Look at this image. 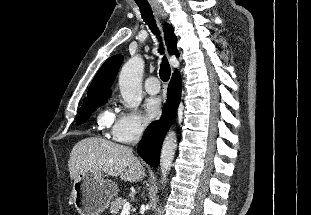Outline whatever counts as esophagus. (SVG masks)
<instances>
[{
	"instance_id": "34e87169",
	"label": "esophagus",
	"mask_w": 311,
	"mask_h": 215,
	"mask_svg": "<svg viewBox=\"0 0 311 215\" xmlns=\"http://www.w3.org/2000/svg\"><path fill=\"white\" fill-rule=\"evenodd\" d=\"M155 10L158 12V14H160L162 17L165 16V13L163 11V9L161 8V6H156Z\"/></svg>"
}]
</instances>
